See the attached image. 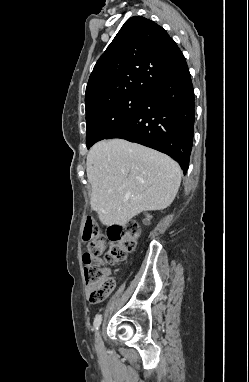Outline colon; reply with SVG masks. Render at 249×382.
<instances>
[{"mask_svg": "<svg viewBox=\"0 0 249 382\" xmlns=\"http://www.w3.org/2000/svg\"><path fill=\"white\" fill-rule=\"evenodd\" d=\"M98 233L97 222L88 216L84 221L82 237L88 242V251L84 253L83 261L91 302L103 301L114 290L115 282L107 276L103 264H117L127 260L136 248L140 226L136 222L112 226L108 232L111 245L104 258L101 255L105 251L106 241Z\"/></svg>", "mask_w": 249, "mask_h": 382, "instance_id": "5ec220e1", "label": "colon"}]
</instances>
